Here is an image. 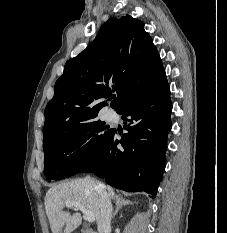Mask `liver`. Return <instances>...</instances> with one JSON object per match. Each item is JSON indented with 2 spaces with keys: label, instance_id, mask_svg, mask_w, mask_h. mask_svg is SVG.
I'll use <instances>...</instances> for the list:
<instances>
[{
  "label": "liver",
  "instance_id": "liver-1",
  "mask_svg": "<svg viewBox=\"0 0 227 233\" xmlns=\"http://www.w3.org/2000/svg\"><path fill=\"white\" fill-rule=\"evenodd\" d=\"M91 178L71 180L52 186L45 196V209L53 233H71L82 222L81 214L63 211L66 202H78L100 219V192ZM110 199L118 198L113 188L102 184Z\"/></svg>",
  "mask_w": 227,
  "mask_h": 233
}]
</instances>
